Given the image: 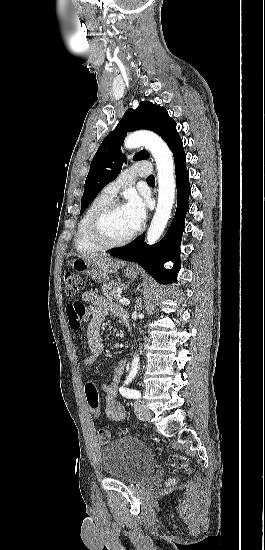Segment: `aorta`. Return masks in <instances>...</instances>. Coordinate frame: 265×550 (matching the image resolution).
I'll return each instance as SVG.
<instances>
[{
	"instance_id": "obj_1",
	"label": "aorta",
	"mask_w": 265,
	"mask_h": 550,
	"mask_svg": "<svg viewBox=\"0 0 265 550\" xmlns=\"http://www.w3.org/2000/svg\"><path fill=\"white\" fill-rule=\"evenodd\" d=\"M127 149L145 146L152 153L158 171V204L147 232V243L153 244L161 237L170 218L175 197L174 161L172 153L166 143L157 135L140 131L128 135L124 141ZM139 368V357L134 356L132 361V375H136Z\"/></svg>"
}]
</instances>
